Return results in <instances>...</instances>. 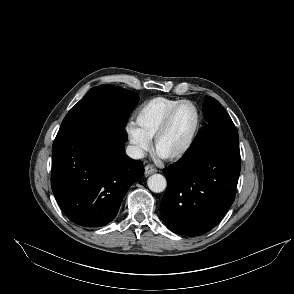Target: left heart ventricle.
Masks as SVG:
<instances>
[{
	"mask_svg": "<svg viewBox=\"0 0 294 294\" xmlns=\"http://www.w3.org/2000/svg\"><path fill=\"white\" fill-rule=\"evenodd\" d=\"M197 115L190 104L182 105L174 115L171 125L159 143L161 155H170L179 151L189 140L195 125Z\"/></svg>",
	"mask_w": 294,
	"mask_h": 294,
	"instance_id": "obj_1",
	"label": "left heart ventricle"
}]
</instances>
